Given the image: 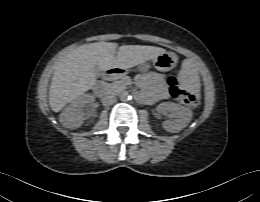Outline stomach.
<instances>
[{
	"instance_id": "stomach-1",
	"label": "stomach",
	"mask_w": 260,
	"mask_h": 202,
	"mask_svg": "<svg viewBox=\"0 0 260 202\" xmlns=\"http://www.w3.org/2000/svg\"><path fill=\"white\" fill-rule=\"evenodd\" d=\"M178 62V57L173 52H164L152 59V65L159 71H169L173 69ZM147 68L148 65H143Z\"/></svg>"
}]
</instances>
